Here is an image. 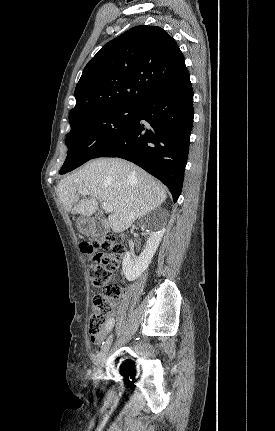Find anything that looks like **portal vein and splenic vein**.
<instances>
[{
    "instance_id": "1",
    "label": "portal vein and splenic vein",
    "mask_w": 275,
    "mask_h": 431,
    "mask_svg": "<svg viewBox=\"0 0 275 431\" xmlns=\"http://www.w3.org/2000/svg\"><path fill=\"white\" fill-rule=\"evenodd\" d=\"M80 194H81V195H90V194H91V192H90V191L85 190V191H80ZM102 207H103V209H104L106 212H112V211H113V206H112L111 204L107 203V202H103V203H102Z\"/></svg>"
}]
</instances>
